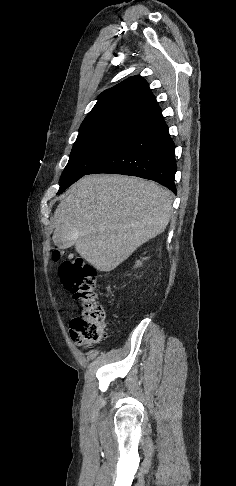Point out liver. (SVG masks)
<instances>
[{
  "instance_id": "6515ba94",
  "label": "liver",
  "mask_w": 236,
  "mask_h": 486,
  "mask_svg": "<svg viewBox=\"0 0 236 486\" xmlns=\"http://www.w3.org/2000/svg\"><path fill=\"white\" fill-rule=\"evenodd\" d=\"M172 202L171 192L152 181L89 175L67 191L53 222L56 229L70 230L66 240L82 258L109 272L165 230Z\"/></svg>"
}]
</instances>
